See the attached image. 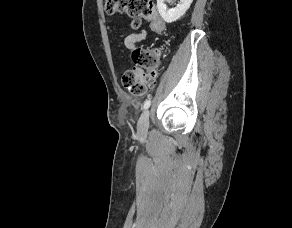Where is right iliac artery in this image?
<instances>
[{"label":"right iliac artery","mask_w":292,"mask_h":228,"mask_svg":"<svg viewBox=\"0 0 292 228\" xmlns=\"http://www.w3.org/2000/svg\"><path fill=\"white\" fill-rule=\"evenodd\" d=\"M151 101L150 100H146L144 103V109H148L150 107Z\"/></svg>","instance_id":"82829eb1"}]
</instances>
